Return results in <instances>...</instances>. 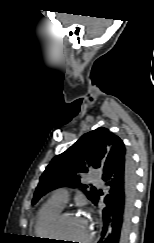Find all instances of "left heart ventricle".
Here are the masks:
<instances>
[{"instance_id":"b2bd125f","label":"left heart ventricle","mask_w":154,"mask_h":243,"mask_svg":"<svg viewBox=\"0 0 154 243\" xmlns=\"http://www.w3.org/2000/svg\"><path fill=\"white\" fill-rule=\"evenodd\" d=\"M91 232V223L86 217L79 215H71L65 217L60 224V236L67 241L65 243L75 242L79 240L82 243Z\"/></svg>"}]
</instances>
